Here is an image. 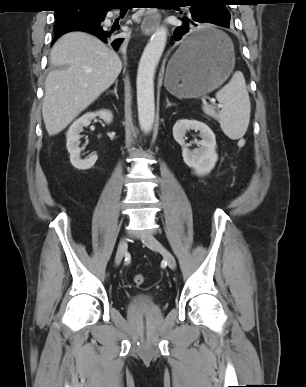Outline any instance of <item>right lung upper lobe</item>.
Segmentation results:
<instances>
[{
    "instance_id": "obj_1",
    "label": "right lung upper lobe",
    "mask_w": 306,
    "mask_h": 387,
    "mask_svg": "<svg viewBox=\"0 0 306 387\" xmlns=\"http://www.w3.org/2000/svg\"><path fill=\"white\" fill-rule=\"evenodd\" d=\"M59 1H60L61 8H68L69 6L80 4L86 7L108 9L111 6H113L116 0H59ZM73 26H69L68 28H71ZM68 28H65V29H68Z\"/></svg>"
}]
</instances>
